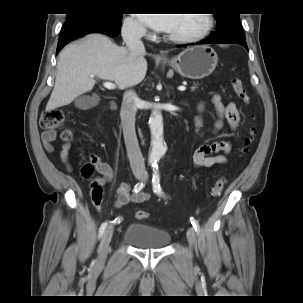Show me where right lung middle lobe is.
Returning a JSON list of instances; mask_svg holds the SVG:
<instances>
[{"mask_svg":"<svg viewBox=\"0 0 303 303\" xmlns=\"http://www.w3.org/2000/svg\"><path fill=\"white\" fill-rule=\"evenodd\" d=\"M80 14H85V15H93V16H98V17H105V18H110V19H118L122 20V15L120 13H104V12H97V11H86ZM73 14H70L67 16L69 18Z\"/></svg>","mask_w":303,"mask_h":303,"instance_id":"right-lung-middle-lobe-1","label":"right lung middle lobe"}]
</instances>
